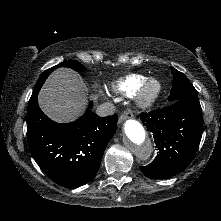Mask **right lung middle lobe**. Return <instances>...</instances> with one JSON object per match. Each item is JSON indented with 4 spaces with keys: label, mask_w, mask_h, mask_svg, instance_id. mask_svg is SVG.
I'll list each match as a JSON object with an SVG mask.
<instances>
[{
    "label": "right lung middle lobe",
    "mask_w": 221,
    "mask_h": 221,
    "mask_svg": "<svg viewBox=\"0 0 221 221\" xmlns=\"http://www.w3.org/2000/svg\"><path fill=\"white\" fill-rule=\"evenodd\" d=\"M62 66L70 67V68H72V69L75 70V71H81V72H82V71L85 70V67H84L82 64H80L79 62H77V61H72V60L64 61V62H62V63H60V64H58V65H56V66H54V67H52V68H50V69H48V70H46V71H44V72L40 75V77H39V79H38V81H37V83H36V85H35L34 90L41 88V86L43 85V83H44V81L46 80V78L48 77V75H49L55 68H57V67H62ZM34 90H33V91H34Z\"/></svg>",
    "instance_id": "1"
}]
</instances>
